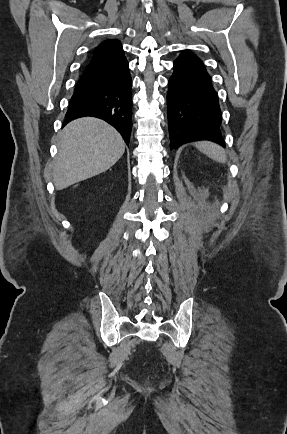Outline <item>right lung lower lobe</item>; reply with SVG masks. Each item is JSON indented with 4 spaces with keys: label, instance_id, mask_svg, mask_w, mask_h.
Here are the masks:
<instances>
[{
    "label": "right lung lower lobe",
    "instance_id": "1",
    "mask_svg": "<svg viewBox=\"0 0 287 434\" xmlns=\"http://www.w3.org/2000/svg\"><path fill=\"white\" fill-rule=\"evenodd\" d=\"M132 79L124 52L90 61L78 80L64 125L84 117L105 120L129 143L132 130Z\"/></svg>",
    "mask_w": 287,
    "mask_h": 434
}]
</instances>
